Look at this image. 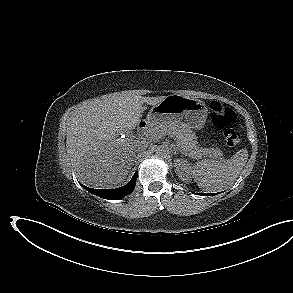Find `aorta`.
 Masks as SVG:
<instances>
[{
    "label": "aorta",
    "mask_w": 293,
    "mask_h": 293,
    "mask_svg": "<svg viewBox=\"0 0 293 293\" xmlns=\"http://www.w3.org/2000/svg\"><path fill=\"white\" fill-rule=\"evenodd\" d=\"M155 151L158 156H165L168 153V149L162 145L158 146Z\"/></svg>",
    "instance_id": "762f6f07"
}]
</instances>
